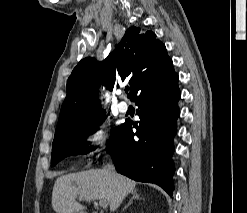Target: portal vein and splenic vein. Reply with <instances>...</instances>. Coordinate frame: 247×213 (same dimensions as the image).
Instances as JSON below:
<instances>
[{"label":"portal vein and splenic vein","mask_w":247,"mask_h":213,"mask_svg":"<svg viewBox=\"0 0 247 213\" xmlns=\"http://www.w3.org/2000/svg\"><path fill=\"white\" fill-rule=\"evenodd\" d=\"M99 206H101L102 208H106L108 206V203L105 200H100Z\"/></svg>","instance_id":"obj_1"}]
</instances>
